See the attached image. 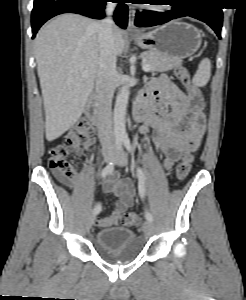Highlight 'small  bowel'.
I'll use <instances>...</instances> for the list:
<instances>
[{
	"instance_id": "small-bowel-1",
	"label": "small bowel",
	"mask_w": 246,
	"mask_h": 300,
	"mask_svg": "<svg viewBox=\"0 0 246 300\" xmlns=\"http://www.w3.org/2000/svg\"><path fill=\"white\" fill-rule=\"evenodd\" d=\"M142 99L149 106V112L142 121L141 132L152 131V148L163 154V166L168 171L186 151L200 146L206 128L203 106L197 108L167 75L154 79ZM94 148L90 146L91 150ZM61 179L67 186L76 188L74 178ZM103 190L118 197L115 210L96 220L98 227H110L133 205L135 188L130 179L114 174L105 182Z\"/></svg>"
}]
</instances>
